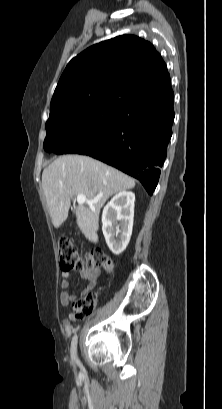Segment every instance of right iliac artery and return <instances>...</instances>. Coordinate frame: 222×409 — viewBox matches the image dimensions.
Returning a JSON list of instances; mask_svg holds the SVG:
<instances>
[{
	"instance_id": "1",
	"label": "right iliac artery",
	"mask_w": 222,
	"mask_h": 409,
	"mask_svg": "<svg viewBox=\"0 0 222 409\" xmlns=\"http://www.w3.org/2000/svg\"><path fill=\"white\" fill-rule=\"evenodd\" d=\"M71 360L72 362H77L78 361V357H77V335H75L72 339L71 342Z\"/></svg>"
}]
</instances>
